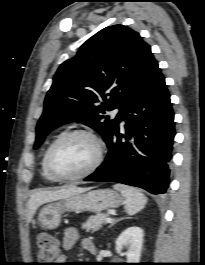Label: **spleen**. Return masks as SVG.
<instances>
[{
  "label": "spleen",
  "instance_id": "1",
  "mask_svg": "<svg viewBox=\"0 0 205 265\" xmlns=\"http://www.w3.org/2000/svg\"><path fill=\"white\" fill-rule=\"evenodd\" d=\"M113 187L124 197L125 209L129 215H134L145 207L147 197L139 189L122 184H115Z\"/></svg>",
  "mask_w": 205,
  "mask_h": 265
}]
</instances>
